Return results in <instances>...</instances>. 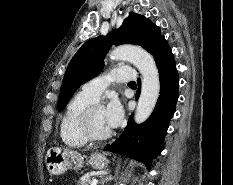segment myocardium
I'll return each instance as SVG.
<instances>
[{
	"mask_svg": "<svg viewBox=\"0 0 233 185\" xmlns=\"http://www.w3.org/2000/svg\"><path fill=\"white\" fill-rule=\"evenodd\" d=\"M97 108H103V105L99 102H92L89 104L81 113L79 120H78V125L81 134L83 137L89 141V142H101L109 139L113 131L110 130L108 133L104 135H96L91 128V115L93 111Z\"/></svg>",
	"mask_w": 233,
	"mask_h": 185,
	"instance_id": "1",
	"label": "myocardium"
}]
</instances>
